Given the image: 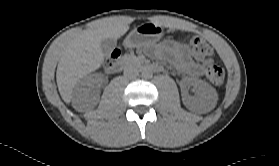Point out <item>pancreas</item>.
<instances>
[{
    "mask_svg": "<svg viewBox=\"0 0 279 166\" xmlns=\"http://www.w3.org/2000/svg\"><path fill=\"white\" fill-rule=\"evenodd\" d=\"M127 62H132V63H136L137 60L134 58H126Z\"/></svg>",
    "mask_w": 279,
    "mask_h": 166,
    "instance_id": "cf45deb5",
    "label": "pancreas"
}]
</instances>
